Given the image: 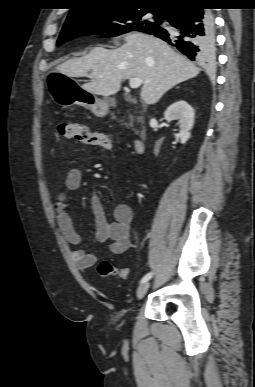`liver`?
Instances as JSON below:
<instances>
[{
	"label": "liver",
	"instance_id": "obj_1",
	"mask_svg": "<svg viewBox=\"0 0 255 387\" xmlns=\"http://www.w3.org/2000/svg\"><path fill=\"white\" fill-rule=\"evenodd\" d=\"M117 49L98 46L84 57L58 65L57 71L70 77H88L81 87L94 95L109 97L121 88L122 81L141 78V99L157 103L175 85L196 77L200 70L175 52L163 40L140 32L124 36Z\"/></svg>",
	"mask_w": 255,
	"mask_h": 387
}]
</instances>
